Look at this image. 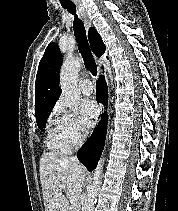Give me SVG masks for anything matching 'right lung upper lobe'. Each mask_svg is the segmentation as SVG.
Returning a JSON list of instances; mask_svg holds the SVG:
<instances>
[{
	"label": "right lung upper lobe",
	"mask_w": 178,
	"mask_h": 211,
	"mask_svg": "<svg viewBox=\"0 0 178 211\" xmlns=\"http://www.w3.org/2000/svg\"><path fill=\"white\" fill-rule=\"evenodd\" d=\"M89 41L93 53L100 57L104 54L106 47L94 28L89 29ZM62 64V55L56 43H51L45 50L41 59L36 76L35 90V114L53 107L60 97L58 84L59 71Z\"/></svg>",
	"instance_id": "cb5924a9"
}]
</instances>
